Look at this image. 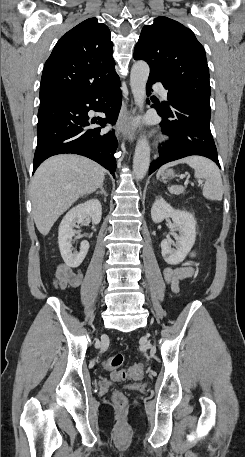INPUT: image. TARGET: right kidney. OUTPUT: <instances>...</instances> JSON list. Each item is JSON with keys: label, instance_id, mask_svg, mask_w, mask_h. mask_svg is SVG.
Returning a JSON list of instances; mask_svg holds the SVG:
<instances>
[{"label": "right kidney", "instance_id": "ca27d5eb", "mask_svg": "<svg viewBox=\"0 0 245 457\" xmlns=\"http://www.w3.org/2000/svg\"><path fill=\"white\" fill-rule=\"evenodd\" d=\"M102 216V206L100 200L97 198H91V200H86L82 204H77L71 210H68L64 218H62L59 226L58 233V243L60 251L67 253L69 257L70 267L76 269L84 261L88 251L89 243L88 241H82L80 251H74L72 253V237L77 235L78 231H75L74 226L82 224L84 220H92L93 224H98ZM78 222V224H76Z\"/></svg>", "mask_w": 245, "mask_h": 457}]
</instances>
